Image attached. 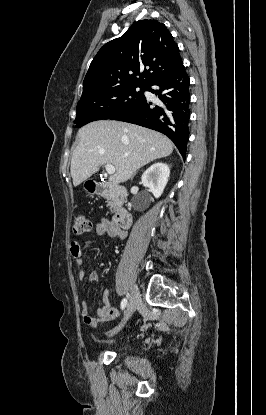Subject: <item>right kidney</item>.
Masks as SVG:
<instances>
[{
	"label": "right kidney",
	"instance_id": "obj_1",
	"mask_svg": "<svg viewBox=\"0 0 266 415\" xmlns=\"http://www.w3.org/2000/svg\"><path fill=\"white\" fill-rule=\"evenodd\" d=\"M170 169L165 163H155L142 175V184L149 188L150 192L159 198L168 182Z\"/></svg>",
	"mask_w": 266,
	"mask_h": 415
}]
</instances>
